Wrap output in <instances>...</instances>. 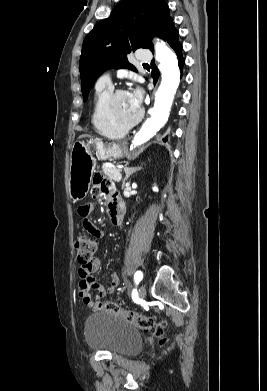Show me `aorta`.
Listing matches in <instances>:
<instances>
[{"mask_svg":"<svg viewBox=\"0 0 267 391\" xmlns=\"http://www.w3.org/2000/svg\"><path fill=\"white\" fill-rule=\"evenodd\" d=\"M155 53L162 79L155 93L154 106L149 111L150 116L132 141L134 147L155 136L167 122L180 82V71L175 53L162 40H157L155 43Z\"/></svg>","mask_w":267,"mask_h":391,"instance_id":"1","label":"aorta"}]
</instances>
